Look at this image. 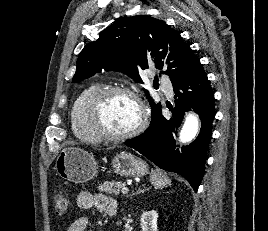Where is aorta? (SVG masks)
Instances as JSON below:
<instances>
[{
    "label": "aorta",
    "mask_w": 268,
    "mask_h": 231,
    "mask_svg": "<svg viewBox=\"0 0 268 231\" xmlns=\"http://www.w3.org/2000/svg\"><path fill=\"white\" fill-rule=\"evenodd\" d=\"M199 132V119L193 113H188L179 133V140L182 143L192 141Z\"/></svg>",
    "instance_id": "aorta-1"
}]
</instances>
